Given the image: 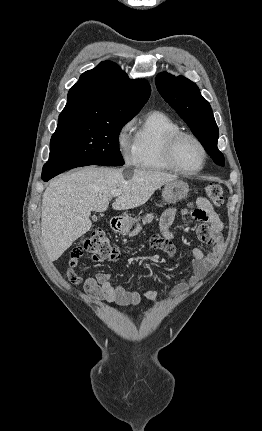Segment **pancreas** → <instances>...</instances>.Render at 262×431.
Masks as SVG:
<instances>
[{"label": "pancreas", "mask_w": 262, "mask_h": 431, "mask_svg": "<svg viewBox=\"0 0 262 431\" xmlns=\"http://www.w3.org/2000/svg\"><path fill=\"white\" fill-rule=\"evenodd\" d=\"M154 216L153 214H147L146 217L143 219V224L150 223L153 220ZM142 229L141 225H137V227L130 233V236L137 235L140 230Z\"/></svg>", "instance_id": "obj_1"}]
</instances>
